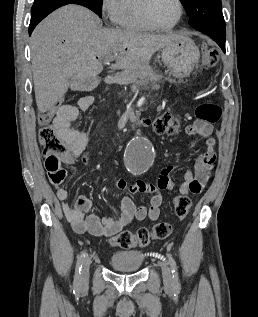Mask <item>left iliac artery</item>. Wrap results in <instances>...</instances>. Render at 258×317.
Returning a JSON list of instances; mask_svg holds the SVG:
<instances>
[{
    "label": "left iliac artery",
    "mask_w": 258,
    "mask_h": 317,
    "mask_svg": "<svg viewBox=\"0 0 258 317\" xmlns=\"http://www.w3.org/2000/svg\"><path fill=\"white\" fill-rule=\"evenodd\" d=\"M167 258L171 266L172 280H173V293L178 294L181 290V285L178 278V267L175 259L171 253H167Z\"/></svg>",
    "instance_id": "obj_1"
}]
</instances>
